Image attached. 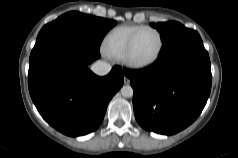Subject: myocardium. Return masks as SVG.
<instances>
[{
    "instance_id": "f54148a6",
    "label": "myocardium",
    "mask_w": 238,
    "mask_h": 158,
    "mask_svg": "<svg viewBox=\"0 0 238 158\" xmlns=\"http://www.w3.org/2000/svg\"><path fill=\"white\" fill-rule=\"evenodd\" d=\"M146 30L154 31L158 35V37H159V48H158L157 53L155 54V56L152 59H150L148 61L138 62V61H135V60L132 59V52H133V49H134L137 38L139 37V35L142 32H144ZM163 48H164V39H163L162 33L155 27L144 26L132 35V37L129 40V42L127 44V47L125 49L122 60L127 66H129L131 68H136V69L146 68V67H149V66L153 65L155 62H157V60L160 58V56L162 54Z\"/></svg>"
}]
</instances>
